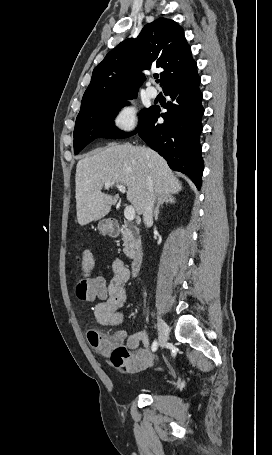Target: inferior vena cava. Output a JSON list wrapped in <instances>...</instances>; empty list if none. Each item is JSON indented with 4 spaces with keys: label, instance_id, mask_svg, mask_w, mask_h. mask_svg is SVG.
<instances>
[{
    "label": "inferior vena cava",
    "instance_id": "obj_1",
    "mask_svg": "<svg viewBox=\"0 0 272 455\" xmlns=\"http://www.w3.org/2000/svg\"><path fill=\"white\" fill-rule=\"evenodd\" d=\"M148 186L149 192L143 210V221L146 226L152 223L153 221V207L155 202V195L153 193L152 181L150 178H148Z\"/></svg>",
    "mask_w": 272,
    "mask_h": 455
}]
</instances>
